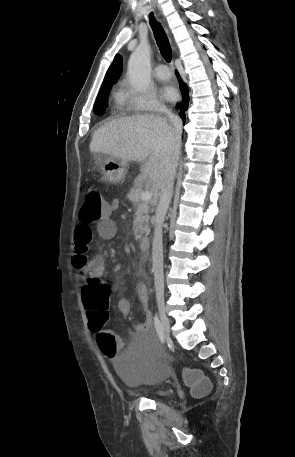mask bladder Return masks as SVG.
<instances>
[{
  "label": "bladder",
  "instance_id": "bladder-1",
  "mask_svg": "<svg viewBox=\"0 0 295 457\" xmlns=\"http://www.w3.org/2000/svg\"><path fill=\"white\" fill-rule=\"evenodd\" d=\"M135 346L134 351L117 363L118 376L130 388L148 387L150 395L157 398L166 396L167 393L159 385L167 382L170 367L168 364H158V357L152 350L157 346V339L136 338Z\"/></svg>",
  "mask_w": 295,
  "mask_h": 457
}]
</instances>
